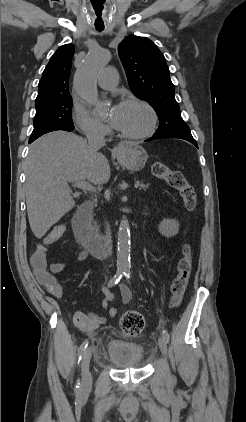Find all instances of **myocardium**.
Instances as JSON below:
<instances>
[{
  "instance_id": "1",
  "label": "myocardium",
  "mask_w": 246,
  "mask_h": 422,
  "mask_svg": "<svg viewBox=\"0 0 246 422\" xmlns=\"http://www.w3.org/2000/svg\"><path fill=\"white\" fill-rule=\"evenodd\" d=\"M122 104H138L142 106L143 108L147 110L150 117V122H149L148 127L143 132L136 133V134L127 133L118 129L117 132L120 137L124 139H128V140H143L152 136L155 133L157 129V125H158V114L151 103H149L147 100L142 99L140 97L131 96V97L125 98L122 101Z\"/></svg>"
}]
</instances>
